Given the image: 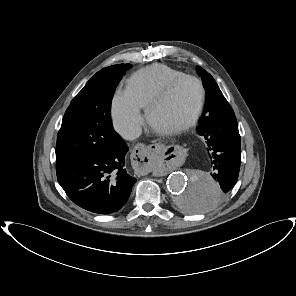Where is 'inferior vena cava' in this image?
<instances>
[{
    "mask_svg": "<svg viewBox=\"0 0 296 296\" xmlns=\"http://www.w3.org/2000/svg\"><path fill=\"white\" fill-rule=\"evenodd\" d=\"M142 133V128L139 125H130L125 127L121 132V136L127 140H134L138 138Z\"/></svg>",
    "mask_w": 296,
    "mask_h": 296,
    "instance_id": "602c4592",
    "label": "inferior vena cava"
}]
</instances>
